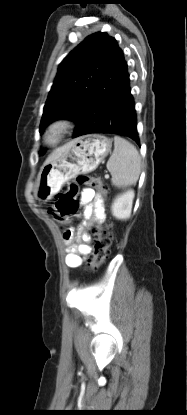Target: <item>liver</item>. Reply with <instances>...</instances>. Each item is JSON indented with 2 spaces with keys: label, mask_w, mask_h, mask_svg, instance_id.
I'll return each instance as SVG.
<instances>
[{
  "label": "liver",
  "mask_w": 187,
  "mask_h": 415,
  "mask_svg": "<svg viewBox=\"0 0 187 415\" xmlns=\"http://www.w3.org/2000/svg\"><path fill=\"white\" fill-rule=\"evenodd\" d=\"M70 147V144H66L56 150H54L51 155L47 158L45 163H49L55 159H57L58 157H60L62 155V153H64L68 148Z\"/></svg>",
  "instance_id": "1"
}]
</instances>
